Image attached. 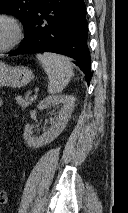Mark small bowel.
Instances as JSON below:
<instances>
[{
    "mask_svg": "<svg viewBox=\"0 0 128 213\" xmlns=\"http://www.w3.org/2000/svg\"><path fill=\"white\" fill-rule=\"evenodd\" d=\"M2 106V100L0 99V107Z\"/></svg>",
    "mask_w": 128,
    "mask_h": 213,
    "instance_id": "c3829d8e",
    "label": "small bowel"
}]
</instances>
